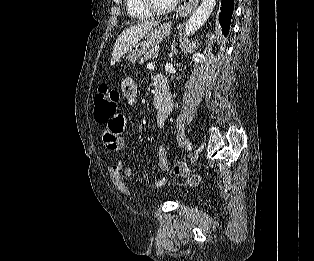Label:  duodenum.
<instances>
[{
  "mask_svg": "<svg viewBox=\"0 0 314 261\" xmlns=\"http://www.w3.org/2000/svg\"><path fill=\"white\" fill-rule=\"evenodd\" d=\"M153 104L158 114L168 112L172 106V98L164 78H155V95Z\"/></svg>",
  "mask_w": 314,
  "mask_h": 261,
  "instance_id": "1",
  "label": "duodenum"
}]
</instances>
